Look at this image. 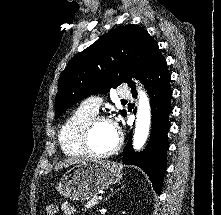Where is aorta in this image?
<instances>
[{
    "instance_id": "1",
    "label": "aorta",
    "mask_w": 221,
    "mask_h": 215,
    "mask_svg": "<svg viewBox=\"0 0 221 215\" xmlns=\"http://www.w3.org/2000/svg\"><path fill=\"white\" fill-rule=\"evenodd\" d=\"M138 108L135 123V130L133 136V148L140 150L149 135L150 124H151V109L150 102L147 94L138 88Z\"/></svg>"
}]
</instances>
